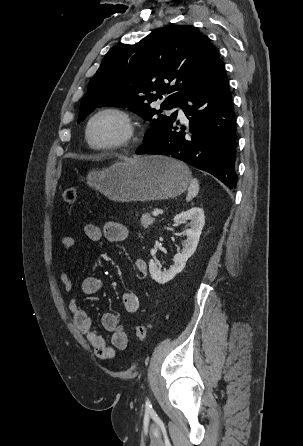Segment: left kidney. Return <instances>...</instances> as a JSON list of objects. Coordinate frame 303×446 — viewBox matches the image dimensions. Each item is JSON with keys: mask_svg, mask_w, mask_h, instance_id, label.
<instances>
[{"mask_svg": "<svg viewBox=\"0 0 303 446\" xmlns=\"http://www.w3.org/2000/svg\"><path fill=\"white\" fill-rule=\"evenodd\" d=\"M173 221L175 223H182L189 221L190 228L185 231L187 239L183 242V249L181 253L174 256V265L168 270L162 271L159 264L153 260L149 262V272L153 280L160 284L167 283L172 280L176 274L180 273L187 260L196 251L202 229L205 224V216L202 208L194 207L185 212L177 214Z\"/></svg>", "mask_w": 303, "mask_h": 446, "instance_id": "5707ae66", "label": "left kidney"}]
</instances>
